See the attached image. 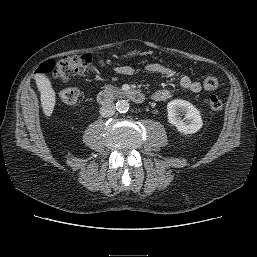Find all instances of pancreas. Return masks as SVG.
I'll return each mask as SVG.
<instances>
[{
    "label": "pancreas",
    "mask_w": 257,
    "mask_h": 257,
    "mask_svg": "<svg viewBox=\"0 0 257 257\" xmlns=\"http://www.w3.org/2000/svg\"><path fill=\"white\" fill-rule=\"evenodd\" d=\"M120 89H118L117 87H114L112 85H107L105 87V91L109 92V93H115L117 91H119Z\"/></svg>",
    "instance_id": "1"
}]
</instances>
